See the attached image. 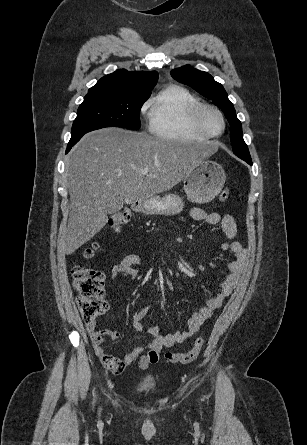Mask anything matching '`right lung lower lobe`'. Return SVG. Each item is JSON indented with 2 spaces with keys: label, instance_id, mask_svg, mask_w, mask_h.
<instances>
[{
  "label": "right lung lower lobe",
  "instance_id": "right-lung-lower-lobe-1",
  "mask_svg": "<svg viewBox=\"0 0 307 445\" xmlns=\"http://www.w3.org/2000/svg\"><path fill=\"white\" fill-rule=\"evenodd\" d=\"M85 134H86V133H85ZM83 135H84V134L79 135V136H76V137H71L70 142L68 143V146H67L66 153H68V152L70 151V149L72 148V146H74V145L81 139V137H82Z\"/></svg>",
  "mask_w": 307,
  "mask_h": 445
}]
</instances>
